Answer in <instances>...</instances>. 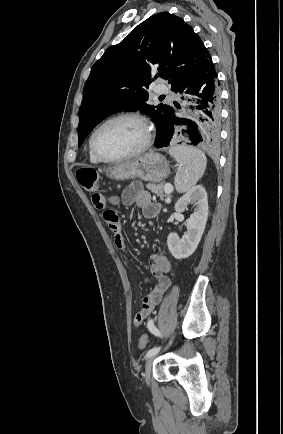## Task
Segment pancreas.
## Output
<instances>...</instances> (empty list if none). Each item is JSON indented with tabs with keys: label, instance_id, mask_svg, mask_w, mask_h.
Instances as JSON below:
<instances>
[{
	"label": "pancreas",
	"instance_id": "pancreas-1",
	"mask_svg": "<svg viewBox=\"0 0 283 434\" xmlns=\"http://www.w3.org/2000/svg\"><path fill=\"white\" fill-rule=\"evenodd\" d=\"M146 187L152 192L154 193L156 196L160 197L161 199H163L164 197L169 196L168 194H164V185L162 183L160 184H147Z\"/></svg>",
	"mask_w": 283,
	"mask_h": 434
}]
</instances>
